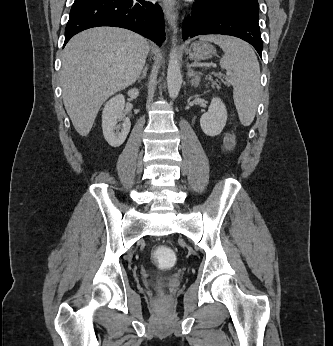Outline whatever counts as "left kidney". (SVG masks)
<instances>
[{
    "label": "left kidney",
    "instance_id": "left-kidney-1",
    "mask_svg": "<svg viewBox=\"0 0 333 346\" xmlns=\"http://www.w3.org/2000/svg\"><path fill=\"white\" fill-rule=\"evenodd\" d=\"M227 121V111L224 103L218 97H213L206 113L200 118V126L207 136H217L224 129Z\"/></svg>",
    "mask_w": 333,
    "mask_h": 346
}]
</instances>
